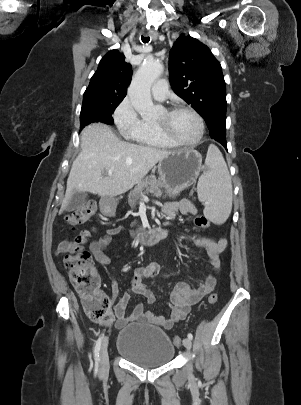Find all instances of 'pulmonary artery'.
<instances>
[{
  "label": "pulmonary artery",
  "mask_w": 301,
  "mask_h": 405,
  "mask_svg": "<svg viewBox=\"0 0 301 405\" xmlns=\"http://www.w3.org/2000/svg\"><path fill=\"white\" fill-rule=\"evenodd\" d=\"M151 93L154 99L163 101L168 96V83L165 79L156 81L151 88Z\"/></svg>",
  "instance_id": "obj_1"
}]
</instances>
